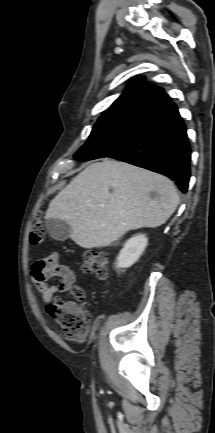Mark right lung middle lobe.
Returning a JSON list of instances; mask_svg holds the SVG:
<instances>
[{"instance_id": "right-lung-middle-lobe-1", "label": "right lung middle lobe", "mask_w": 215, "mask_h": 433, "mask_svg": "<svg viewBox=\"0 0 215 433\" xmlns=\"http://www.w3.org/2000/svg\"><path fill=\"white\" fill-rule=\"evenodd\" d=\"M147 118L122 117L98 121L89 139L75 153L79 161L108 157L125 147L142 129Z\"/></svg>"}]
</instances>
